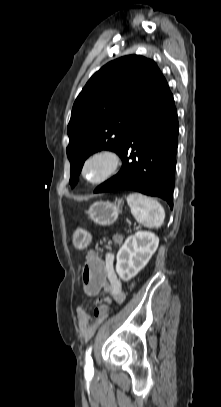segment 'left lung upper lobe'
<instances>
[{
  "label": "left lung upper lobe",
  "instance_id": "left-lung-upper-lobe-1",
  "mask_svg": "<svg viewBox=\"0 0 221 407\" xmlns=\"http://www.w3.org/2000/svg\"><path fill=\"white\" fill-rule=\"evenodd\" d=\"M163 78L153 60L128 55L107 63L89 79L67 128L72 187L91 154L103 149L121 152L134 119Z\"/></svg>",
  "mask_w": 221,
  "mask_h": 407
}]
</instances>
